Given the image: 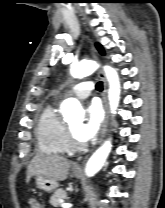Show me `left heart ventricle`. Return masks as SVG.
<instances>
[{"label": "left heart ventricle", "instance_id": "b2bd125f", "mask_svg": "<svg viewBox=\"0 0 165 208\" xmlns=\"http://www.w3.org/2000/svg\"><path fill=\"white\" fill-rule=\"evenodd\" d=\"M79 125H80V120H78V119L72 120L70 123H68L70 130L72 131L74 137L78 141H80L77 137V130H78Z\"/></svg>", "mask_w": 165, "mask_h": 208}]
</instances>
